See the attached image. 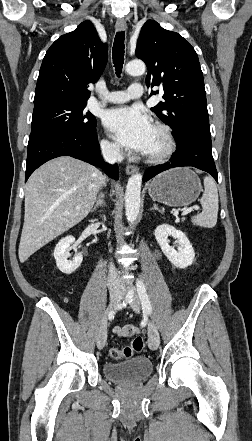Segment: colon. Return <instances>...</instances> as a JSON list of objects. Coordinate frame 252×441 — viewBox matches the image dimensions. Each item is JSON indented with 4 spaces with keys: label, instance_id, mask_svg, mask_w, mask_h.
<instances>
[{
    "label": "colon",
    "instance_id": "colon-1",
    "mask_svg": "<svg viewBox=\"0 0 252 441\" xmlns=\"http://www.w3.org/2000/svg\"><path fill=\"white\" fill-rule=\"evenodd\" d=\"M144 348L143 338L140 336L135 337L129 346L123 348H113L110 351V356L112 359L118 360L123 358H129L135 353L142 351Z\"/></svg>",
    "mask_w": 252,
    "mask_h": 441
}]
</instances>
